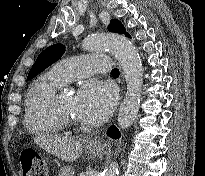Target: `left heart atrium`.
Here are the masks:
<instances>
[{
	"label": "left heart atrium",
	"instance_id": "39dd6f15",
	"mask_svg": "<svg viewBox=\"0 0 205 176\" xmlns=\"http://www.w3.org/2000/svg\"><path fill=\"white\" fill-rule=\"evenodd\" d=\"M116 101L115 90L98 80L85 82L76 98V114L88 123L104 122L110 115Z\"/></svg>",
	"mask_w": 205,
	"mask_h": 176
}]
</instances>
